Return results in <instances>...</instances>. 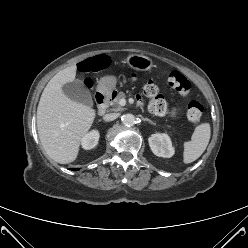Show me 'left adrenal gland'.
Returning a JSON list of instances; mask_svg holds the SVG:
<instances>
[{
  "label": "left adrenal gland",
  "mask_w": 248,
  "mask_h": 248,
  "mask_svg": "<svg viewBox=\"0 0 248 248\" xmlns=\"http://www.w3.org/2000/svg\"><path fill=\"white\" fill-rule=\"evenodd\" d=\"M142 120H143V121H148L149 123L154 124V122H153V121H151V120H150V119H148V118H143V117H142Z\"/></svg>",
  "instance_id": "a2214340"
}]
</instances>
